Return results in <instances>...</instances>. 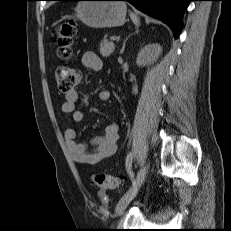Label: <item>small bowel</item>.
<instances>
[{
  "label": "small bowel",
  "mask_w": 231,
  "mask_h": 231,
  "mask_svg": "<svg viewBox=\"0 0 231 231\" xmlns=\"http://www.w3.org/2000/svg\"><path fill=\"white\" fill-rule=\"evenodd\" d=\"M82 64L93 71L103 69V61L93 52H85L82 56ZM99 99L107 102L110 99L108 91H101ZM79 96L77 91L72 90L65 94V101L61 105V111L71 114L75 122L80 123L84 120V113L78 110L77 104ZM76 131L73 128H67L64 131V139L67 149L72 158L82 164H95L116 153L119 145V126L117 123H110L104 128L103 135L91 138L89 143L76 141ZM93 147L89 150L88 147Z\"/></svg>",
  "instance_id": "c3829d8e"
}]
</instances>
